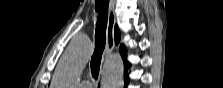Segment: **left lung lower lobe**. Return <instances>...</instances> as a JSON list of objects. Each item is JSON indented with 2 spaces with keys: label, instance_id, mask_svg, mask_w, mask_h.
Listing matches in <instances>:
<instances>
[{
  "label": "left lung lower lobe",
  "instance_id": "0a47b994",
  "mask_svg": "<svg viewBox=\"0 0 223 88\" xmlns=\"http://www.w3.org/2000/svg\"><path fill=\"white\" fill-rule=\"evenodd\" d=\"M130 64L125 63V84L127 85V83L129 82V78L127 77V70L129 68Z\"/></svg>",
  "mask_w": 223,
  "mask_h": 88
}]
</instances>
